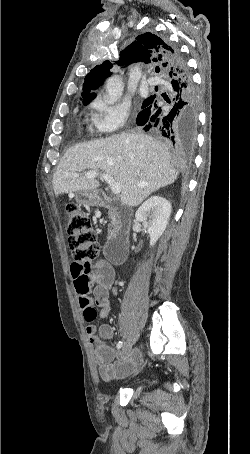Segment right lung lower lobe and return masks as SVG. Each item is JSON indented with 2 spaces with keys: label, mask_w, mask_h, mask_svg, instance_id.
Returning <instances> with one entry per match:
<instances>
[{
  "label": "right lung lower lobe",
  "mask_w": 250,
  "mask_h": 454,
  "mask_svg": "<svg viewBox=\"0 0 250 454\" xmlns=\"http://www.w3.org/2000/svg\"><path fill=\"white\" fill-rule=\"evenodd\" d=\"M172 63L164 76L168 95L150 96L142 105L136 123L145 131H155L173 143L191 146L198 125L196 92L186 61L181 52L168 42Z\"/></svg>",
  "instance_id": "98d812e1"
}]
</instances>
